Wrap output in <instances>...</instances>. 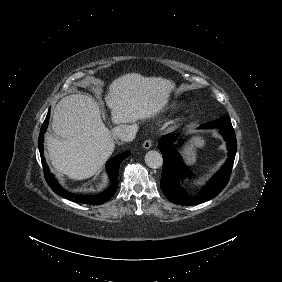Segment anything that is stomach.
Masks as SVG:
<instances>
[{"mask_svg":"<svg viewBox=\"0 0 282 282\" xmlns=\"http://www.w3.org/2000/svg\"><path fill=\"white\" fill-rule=\"evenodd\" d=\"M205 147L206 139L199 134L186 138L180 148L184 162L189 166L196 164L199 151Z\"/></svg>","mask_w":282,"mask_h":282,"instance_id":"0dacf381","label":"stomach"}]
</instances>
